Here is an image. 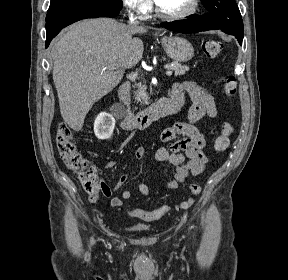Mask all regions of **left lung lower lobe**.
<instances>
[{"label":"left lung lower lobe","instance_id":"1","mask_svg":"<svg viewBox=\"0 0 288 280\" xmlns=\"http://www.w3.org/2000/svg\"><path fill=\"white\" fill-rule=\"evenodd\" d=\"M162 26L169 30L182 33H197L200 31L207 30H221L224 33L233 35L239 41V44L242 45L243 37L238 34H233L230 31H227L223 28H220L217 24L209 21L204 15H193L186 20L174 21V22H165L162 23Z\"/></svg>","mask_w":288,"mask_h":280}]
</instances>
